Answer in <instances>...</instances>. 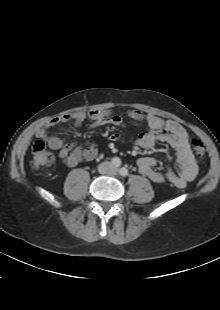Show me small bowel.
<instances>
[{
  "instance_id": "small-bowel-1",
  "label": "small bowel",
  "mask_w": 220,
  "mask_h": 310,
  "mask_svg": "<svg viewBox=\"0 0 220 310\" xmlns=\"http://www.w3.org/2000/svg\"><path fill=\"white\" fill-rule=\"evenodd\" d=\"M127 117L135 121H146L148 129L142 132L136 142L142 148H151L156 141L169 144L176 151L177 170L166 173L156 170L157 161L152 157H142L138 160L137 166L142 175L154 183L170 182L175 187L184 188L197 175L198 167L195 156L191 150L190 137L187 131L178 122L164 120L154 114L144 113L137 109H130L126 112ZM74 121L75 126H80L88 121L90 127L101 125H120L123 123L121 115L111 110H92L89 112L80 111L71 114L56 116L46 122L36 132V137L53 149L58 151L62 162L68 167H74L82 162L92 161L98 156V148L88 142L85 145L67 143L57 136L48 134L49 130L60 123ZM122 139L119 133H112L109 136L111 142Z\"/></svg>"
}]
</instances>
